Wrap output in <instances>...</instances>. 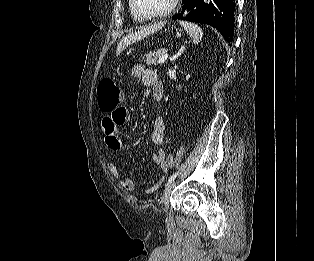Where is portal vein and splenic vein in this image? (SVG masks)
Listing matches in <instances>:
<instances>
[{"label":"portal vein and splenic vein","instance_id":"1","mask_svg":"<svg viewBox=\"0 0 314 261\" xmlns=\"http://www.w3.org/2000/svg\"><path fill=\"white\" fill-rule=\"evenodd\" d=\"M168 57H169L168 54H165V55L159 57L158 63H159V64L164 63V62L168 59Z\"/></svg>","mask_w":314,"mask_h":261}]
</instances>
